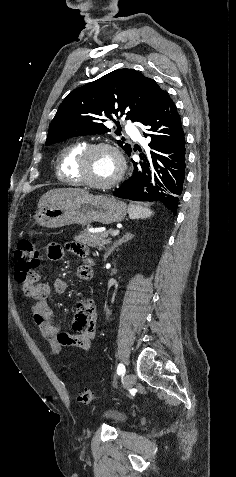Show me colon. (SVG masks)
<instances>
[{"label":"colon","instance_id":"obj_1","mask_svg":"<svg viewBox=\"0 0 236 477\" xmlns=\"http://www.w3.org/2000/svg\"><path fill=\"white\" fill-rule=\"evenodd\" d=\"M40 265V255L29 240L19 243L15 253V278L23 285V289L33 291L38 282V269ZM78 400L83 404H88L94 400V392L90 388L82 389L78 394Z\"/></svg>","mask_w":236,"mask_h":477}]
</instances>
